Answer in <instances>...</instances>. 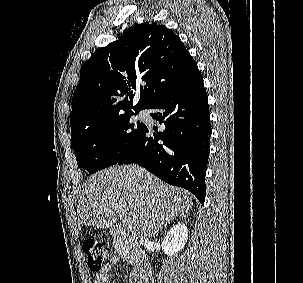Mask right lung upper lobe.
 Masks as SVG:
<instances>
[{"label": "right lung upper lobe", "instance_id": "obj_1", "mask_svg": "<svg viewBox=\"0 0 303 283\" xmlns=\"http://www.w3.org/2000/svg\"><path fill=\"white\" fill-rule=\"evenodd\" d=\"M198 74L197 63L171 29L154 22L133 26L82 65L72 98L71 134L131 109H147ZM135 95L140 99L133 106Z\"/></svg>", "mask_w": 303, "mask_h": 283}]
</instances>
